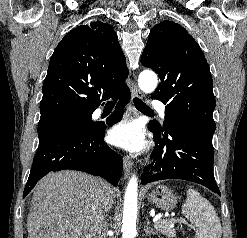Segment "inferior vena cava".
I'll return each mask as SVG.
<instances>
[{
    "instance_id": "obj_1",
    "label": "inferior vena cava",
    "mask_w": 247,
    "mask_h": 238,
    "mask_svg": "<svg viewBox=\"0 0 247 238\" xmlns=\"http://www.w3.org/2000/svg\"><path fill=\"white\" fill-rule=\"evenodd\" d=\"M107 186L108 184L103 179H96L95 192L89 206L91 238H107V222L105 217Z\"/></svg>"
}]
</instances>
